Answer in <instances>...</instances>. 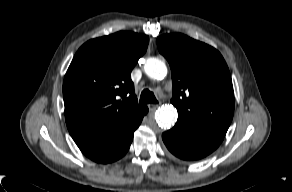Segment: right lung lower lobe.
I'll use <instances>...</instances> for the list:
<instances>
[{
  "label": "right lung lower lobe",
  "instance_id": "1",
  "mask_svg": "<svg viewBox=\"0 0 292 192\" xmlns=\"http://www.w3.org/2000/svg\"><path fill=\"white\" fill-rule=\"evenodd\" d=\"M148 108L133 120L114 129L99 132H76L73 140L91 160L98 163H110L123 157L129 150L134 131L139 127Z\"/></svg>",
  "mask_w": 292,
  "mask_h": 192
}]
</instances>
